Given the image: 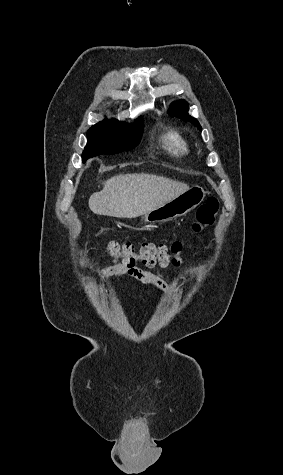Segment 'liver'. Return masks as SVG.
<instances>
[{
	"label": "liver",
	"mask_w": 283,
	"mask_h": 475,
	"mask_svg": "<svg viewBox=\"0 0 283 475\" xmlns=\"http://www.w3.org/2000/svg\"><path fill=\"white\" fill-rule=\"evenodd\" d=\"M190 190L187 184L154 174H120L103 182V190L89 198L98 216L138 218Z\"/></svg>",
	"instance_id": "6515ba94"
}]
</instances>
